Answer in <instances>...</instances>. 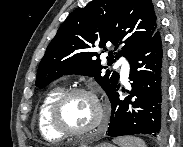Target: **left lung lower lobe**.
Segmentation results:
<instances>
[{
  "label": "left lung lower lobe",
  "instance_id": "0a47b994",
  "mask_svg": "<svg viewBox=\"0 0 183 147\" xmlns=\"http://www.w3.org/2000/svg\"><path fill=\"white\" fill-rule=\"evenodd\" d=\"M127 60L132 89L124 100L119 99V84L109 95L112 112L108 135L162 136L166 131L167 68L160 30Z\"/></svg>",
  "mask_w": 183,
  "mask_h": 147
}]
</instances>
